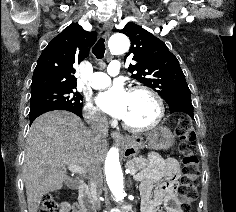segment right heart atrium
<instances>
[{
	"label": "right heart atrium",
	"instance_id": "d8ad5b80",
	"mask_svg": "<svg viewBox=\"0 0 236 212\" xmlns=\"http://www.w3.org/2000/svg\"><path fill=\"white\" fill-rule=\"evenodd\" d=\"M84 116L87 122L94 126L102 127L107 122L106 117L91 100H88L84 106Z\"/></svg>",
	"mask_w": 236,
	"mask_h": 212
}]
</instances>
